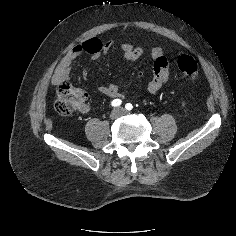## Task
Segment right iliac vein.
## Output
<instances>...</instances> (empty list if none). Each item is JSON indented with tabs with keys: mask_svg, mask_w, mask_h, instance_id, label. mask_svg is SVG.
I'll list each match as a JSON object with an SVG mask.
<instances>
[{
	"mask_svg": "<svg viewBox=\"0 0 236 236\" xmlns=\"http://www.w3.org/2000/svg\"><path fill=\"white\" fill-rule=\"evenodd\" d=\"M122 114V110L121 109H114L111 114H110V118L112 120L117 119L120 115Z\"/></svg>",
	"mask_w": 236,
	"mask_h": 236,
	"instance_id": "right-iliac-vein-1",
	"label": "right iliac vein"
}]
</instances>
